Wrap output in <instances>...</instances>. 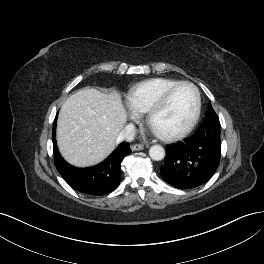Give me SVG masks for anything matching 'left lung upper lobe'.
I'll return each mask as SVG.
<instances>
[{"instance_id":"left-lung-upper-lobe-1","label":"left lung upper lobe","mask_w":264,"mask_h":264,"mask_svg":"<svg viewBox=\"0 0 264 264\" xmlns=\"http://www.w3.org/2000/svg\"><path fill=\"white\" fill-rule=\"evenodd\" d=\"M203 123L204 124L210 123L213 125L220 126L219 118H218L217 114L215 113V111L213 110L211 104L209 105L208 111L206 113V119Z\"/></svg>"}]
</instances>
